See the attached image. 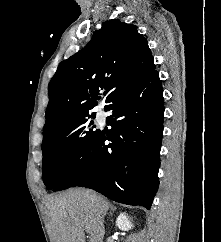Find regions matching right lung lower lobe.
I'll list each match as a JSON object with an SVG mask.
<instances>
[{
  "instance_id": "right-lung-lower-lobe-1",
  "label": "right lung lower lobe",
  "mask_w": 221,
  "mask_h": 242,
  "mask_svg": "<svg viewBox=\"0 0 221 242\" xmlns=\"http://www.w3.org/2000/svg\"><path fill=\"white\" fill-rule=\"evenodd\" d=\"M163 89L155 70L106 109L110 132L100 131L53 191L91 188L128 205L150 209L159 186ZM112 143L105 145V141Z\"/></svg>"
}]
</instances>
